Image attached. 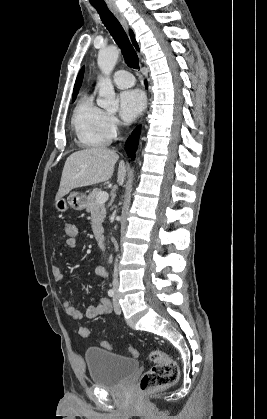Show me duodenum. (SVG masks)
<instances>
[{
    "label": "duodenum",
    "mask_w": 267,
    "mask_h": 419,
    "mask_svg": "<svg viewBox=\"0 0 267 419\" xmlns=\"http://www.w3.org/2000/svg\"><path fill=\"white\" fill-rule=\"evenodd\" d=\"M97 244L99 247L104 248L106 245V239L104 235H99L97 237Z\"/></svg>",
    "instance_id": "duodenum-1"
}]
</instances>
